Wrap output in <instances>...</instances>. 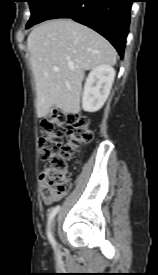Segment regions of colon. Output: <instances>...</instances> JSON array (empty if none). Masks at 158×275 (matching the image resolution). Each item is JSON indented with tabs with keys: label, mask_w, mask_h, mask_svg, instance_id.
<instances>
[{
	"label": "colon",
	"mask_w": 158,
	"mask_h": 275,
	"mask_svg": "<svg viewBox=\"0 0 158 275\" xmlns=\"http://www.w3.org/2000/svg\"><path fill=\"white\" fill-rule=\"evenodd\" d=\"M68 142L63 144L64 136ZM90 120L85 116L55 112L42 123L38 137V153L46 166L39 176L43 196L59 200L70 187V174L66 159L92 140Z\"/></svg>",
	"instance_id": "colon-1"
}]
</instances>
